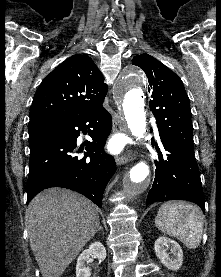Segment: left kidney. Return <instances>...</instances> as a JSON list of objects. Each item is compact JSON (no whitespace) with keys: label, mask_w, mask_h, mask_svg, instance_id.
I'll return each instance as SVG.
<instances>
[{"label":"left kidney","mask_w":221,"mask_h":277,"mask_svg":"<svg viewBox=\"0 0 221 277\" xmlns=\"http://www.w3.org/2000/svg\"><path fill=\"white\" fill-rule=\"evenodd\" d=\"M154 250L157 258L167 268L177 271L182 266V248L171 238L166 236L159 237L155 242Z\"/></svg>","instance_id":"5707ae66"}]
</instances>
